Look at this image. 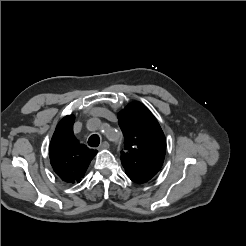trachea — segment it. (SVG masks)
I'll return each instance as SVG.
<instances>
[{
	"label": "trachea",
	"mask_w": 246,
	"mask_h": 246,
	"mask_svg": "<svg viewBox=\"0 0 246 246\" xmlns=\"http://www.w3.org/2000/svg\"><path fill=\"white\" fill-rule=\"evenodd\" d=\"M100 144V137L97 134H93L88 139V145L91 147H98Z\"/></svg>",
	"instance_id": "trachea-1"
}]
</instances>
